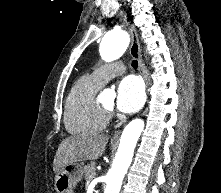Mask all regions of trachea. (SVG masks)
<instances>
[{"label":"trachea","mask_w":221,"mask_h":193,"mask_svg":"<svg viewBox=\"0 0 221 193\" xmlns=\"http://www.w3.org/2000/svg\"><path fill=\"white\" fill-rule=\"evenodd\" d=\"M132 66H133L134 68H137V66H138L137 60H133V61H132Z\"/></svg>","instance_id":"1"}]
</instances>
